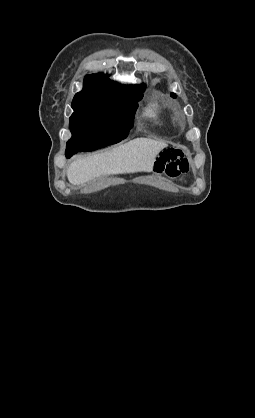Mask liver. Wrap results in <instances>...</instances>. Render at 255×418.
Returning <instances> with one entry per match:
<instances>
[{
  "label": "liver",
  "mask_w": 255,
  "mask_h": 418,
  "mask_svg": "<svg viewBox=\"0 0 255 418\" xmlns=\"http://www.w3.org/2000/svg\"><path fill=\"white\" fill-rule=\"evenodd\" d=\"M163 141L136 138L105 153L75 160L67 169L71 184L81 185L100 175L151 172Z\"/></svg>",
  "instance_id": "obj_1"
}]
</instances>
